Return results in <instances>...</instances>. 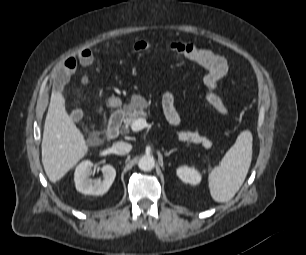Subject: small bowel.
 Instances as JSON below:
<instances>
[{
    "instance_id": "c3829d8e",
    "label": "small bowel",
    "mask_w": 306,
    "mask_h": 255,
    "mask_svg": "<svg viewBox=\"0 0 306 255\" xmlns=\"http://www.w3.org/2000/svg\"><path fill=\"white\" fill-rule=\"evenodd\" d=\"M93 55L90 50L86 49L80 52L79 61L84 65H88L92 62ZM77 68V60L74 57L66 59L61 68L54 74V88L56 91H62L67 84L71 74L75 72ZM175 95L171 92H167L162 98V108L167 121L172 125L180 124V116L175 106ZM78 114H75V118Z\"/></svg>"
}]
</instances>
